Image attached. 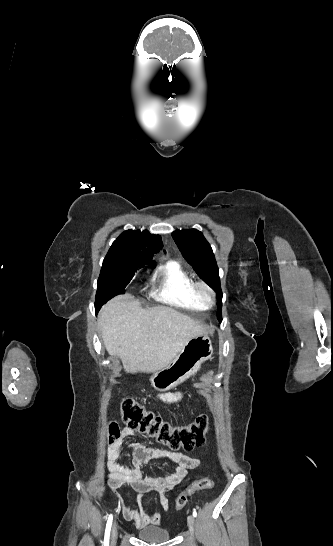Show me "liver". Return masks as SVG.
Listing matches in <instances>:
<instances>
[{
    "label": "liver",
    "instance_id": "1",
    "mask_svg": "<svg viewBox=\"0 0 333 546\" xmlns=\"http://www.w3.org/2000/svg\"><path fill=\"white\" fill-rule=\"evenodd\" d=\"M107 352L117 355L127 373H152L166 367L193 337L206 328L166 306L143 309L130 294L108 301L98 314Z\"/></svg>",
    "mask_w": 333,
    "mask_h": 546
}]
</instances>
